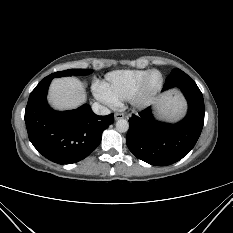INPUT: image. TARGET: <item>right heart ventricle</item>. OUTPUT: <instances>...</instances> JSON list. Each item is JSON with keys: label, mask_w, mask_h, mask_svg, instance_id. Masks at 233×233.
<instances>
[{"label": "right heart ventricle", "mask_w": 233, "mask_h": 233, "mask_svg": "<svg viewBox=\"0 0 233 233\" xmlns=\"http://www.w3.org/2000/svg\"><path fill=\"white\" fill-rule=\"evenodd\" d=\"M148 71L142 69L113 71L106 75L102 85L117 104L130 99Z\"/></svg>", "instance_id": "right-heart-ventricle-1"}]
</instances>
